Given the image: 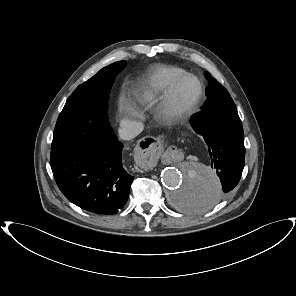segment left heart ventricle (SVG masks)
Masks as SVG:
<instances>
[{"mask_svg": "<svg viewBox=\"0 0 296 296\" xmlns=\"http://www.w3.org/2000/svg\"><path fill=\"white\" fill-rule=\"evenodd\" d=\"M198 94V85L195 80L188 78L182 81L175 90L174 102L183 107L192 102Z\"/></svg>", "mask_w": 296, "mask_h": 296, "instance_id": "1", "label": "left heart ventricle"}]
</instances>
